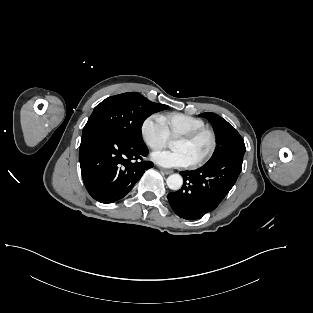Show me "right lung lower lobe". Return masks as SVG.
<instances>
[{
  "label": "right lung lower lobe",
  "mask_w": 313,
  "mask_h": 313,
  "mask_svg": "<svg viewBox=\"0 0 313 313\" xmlns=\"http://www.w3.org/2000/svg\"><path fill=\"white\" fill-rule=\"evenodd\" d=\"M148 154L144 141L128 140L107 130L82 136L79 161L89 194L101 203H113L133 188L152 162L140 161Z\"/></svg>",
  "instance_id": "98d812e1"
}]
</instances>
